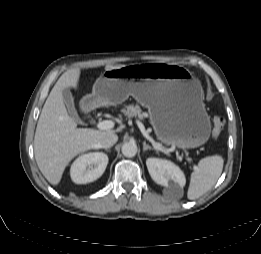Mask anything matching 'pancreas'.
I'll return each mask as SVG.
<instances>
[{
	"instance_id": "pancreas-1",
	"label": "pancreas",
	"mask_w": 261,
	"mask_h": 254,
	"mask_svg": "<svg viewBox=\"0 0 261 254\" xmlns=\"http://www.w3.org/2000/svg\"><path fill=\"white\" fill-rule=\"evenodd\" d=\"M123 113L126 117H138L139 119H143L145 117V113L142 112L141 108L136 105H127L123 110Z\"/></svg>"
}]
</instances>
